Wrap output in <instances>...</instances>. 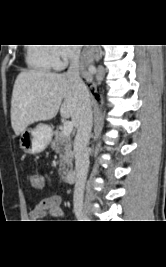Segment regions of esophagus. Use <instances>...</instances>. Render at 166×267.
Wrapping results in <instances>:
<instances>
[{"mask_svg":"<svg viewBox=\"0 0 166 267\" xmlns=\"http://www.w3.org/2000/svg\"><path fill=\"white\" fill-rule=\"evenodd\" d=\"M85 77H86L87 81H91L92 80L91 76L88 73L85 74Z\"/></svg>","mask_w":166,"mask_h":267,"instance_id":"esophagus-1","label":"esophagus"}]
</instances>
